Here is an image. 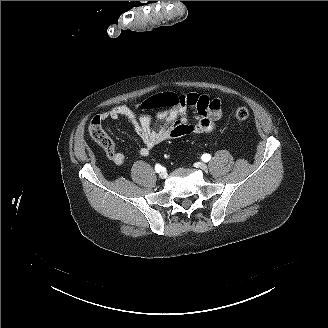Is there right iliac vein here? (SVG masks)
Returning a JSON list of instances; mask_svg holds the SVG:
<instances>
[{"label":"right iliac vein","mask_w":328,"mask_h":328,"mask_svg":"<svg viewBox=\"0 0 328 328\" xmlns=\"http://www.w3.org/2000/svg\"><path fill=\"white\" fill-rule=\"evenodd\" d=\"M167 177V172L166 171H162L160 174H159V178L161 179H165Z\"/></svg>","instance_id":"obj_1"}]
</instances>
